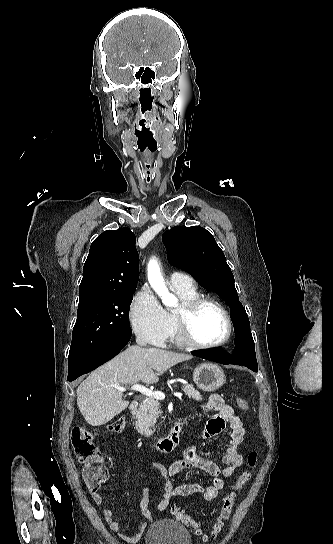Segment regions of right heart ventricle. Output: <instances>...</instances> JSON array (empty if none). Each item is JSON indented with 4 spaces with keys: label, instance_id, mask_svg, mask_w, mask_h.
Returning <instances> with one entry per match:
<instances>
[{
    "label": "right heart ventricle",
    "instance_id": "e07e8e85",
    "mask_svg": "<svg viewBox=\"0 0 333 544\" xmlns=\"http://www.w3.org/2000/svg\"><path fill=\"white\" fill-rule=\"evenodd\" d=\"M173 289L175 293L179 296L181 301L189 300L199 296L195 287L188 288V289H181V288H173ZM167 316L170 323V331H169L168 339L176 345H179V346L185 345L178 335L174 312L173 311L167 312Z\"/></svg>",
    "mask_w": 333,
    "mask_h": 544
}]
</instances>
